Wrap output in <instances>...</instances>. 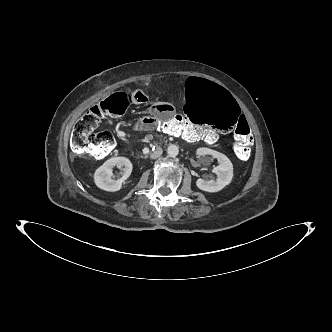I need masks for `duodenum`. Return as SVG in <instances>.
I'll return each instance as SVG.
<instances>
[{
  "label": "duodenum",
  "instance_id": "obj_1",
  "mask_svg": "<svg viewBox=\"0 0 332 332\" xmlns=\"http://www.w3.org/2000/svg\"><path fill=\"white\" fill-rule=\"evenodd\" d=\"M157 120H158V118L155 117V118L151 119L150 122H151L152 125H155V122H156ZM182 136H183V138H184L185 140H187V141H192V137H191L190 132H185V133H183ZM206 139H207L208 141H211V140H212V137L210 136V134L207 135Z\"/></svg>",
  "mask_w": 332,
  "mask_h": 332
}]
</instances>
